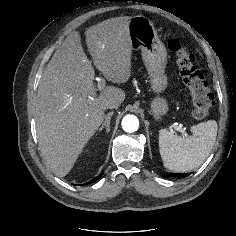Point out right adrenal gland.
Segmentation results:
<instances>
[{
    "label": "right adrenal gland",
    "mask_w": 236,
    "mask_h": 236,
    "mask_svg": "<svg viewBox=\"0 0 236 236\" xmlns=\"http://www.w3.org/2000/svg\"><path fill=\"white\" fill-rule=\"evenodd\" d=\"M113 115V112L108 113L105 116V121L102 124V126L99 128V132H101L104 128H106V133L108 134L110 131V121H111V116Z\"/></svg>",
    "instance_id": "1"
}]
</instances>
